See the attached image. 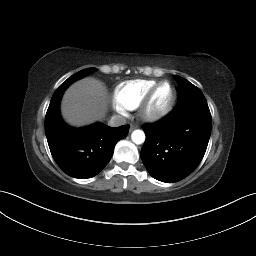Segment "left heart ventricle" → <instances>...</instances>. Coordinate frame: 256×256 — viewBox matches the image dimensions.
I'll return each instance as SVG.
<instances>
[{
    "mask_svg": "<svg viewBox=\"0 0 256 256\" xmlns=\"http://www.w3.org/2000/svg\"><path fill=\"white\" fill-rule=\"evenodd\" d=\"M171 94L172 90L169 85L165 84L161 86L153 98L152 107L154 109H160L164 107L169 102Z\"/></svg>",
    "mask_w": 256,
    "mask_h": 256,
    "instance_id": "b2bd125f",
    "label": "left heart ventricle"
}]
</instances>
